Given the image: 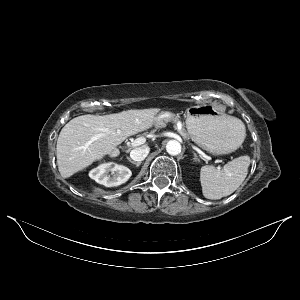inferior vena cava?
<instances>
[{"label":"inferior vena cava","mask_w":300,"mask_h":300,"mask_svg":"<svg viewBox=\"0 0 300 300\" xmlns=\"http://www.w3.org/2000/svg\"><path fill=\"white\" fill-rule=\"evenodd\" d=\"M150 148L146 145L133 149L130 152V157L137 162L143 161L149 154Z\"/></svg>","instance_id":"obj_1"}]
</instances>
